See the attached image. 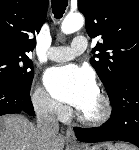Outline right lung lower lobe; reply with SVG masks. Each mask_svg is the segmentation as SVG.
Masks as SVG:
<instances>
[{"mask_svg": "<svg viewBox=\"0 0 139 150\" xmlns=\"http://www.w3.org/2000/svg\"><path fill=\"white\" fill-rule=\"evenodd\" d=\"M13 113L35 115L30 99V89L0 83V116Z\"/></svg>", "mask_w": 139, "mask_h": 150, "instance_id": "1", "label": "right lung lower lobe"}]
</instances>
